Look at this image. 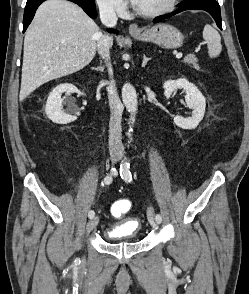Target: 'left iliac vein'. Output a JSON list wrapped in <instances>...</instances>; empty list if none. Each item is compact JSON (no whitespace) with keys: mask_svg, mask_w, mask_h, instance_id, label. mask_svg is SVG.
Instances as JSON below:
<instances>
[{"mask_svg":"<svg viewBox=\"0 0 249 294\" xmlns=\"http://www.w3.org/2000/svg\"><path fill=\"white\" fill-rule=\"evenodd\" d=\"M121 158H122V153L120 152L118 154V158L117 159H121ZM147 216H148V220H149L150 225L153 228H156L157 227V221L154 218V210L151 207L147 211Z\"/></svg>","mask_w":249,"mask_h":294,"instance_id":"4c4485c4","label":"left iliac vein"}]
</instances>
